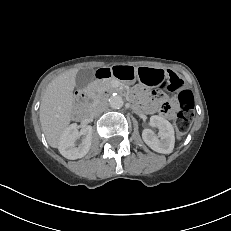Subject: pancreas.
<instances>
[{
  "label": "pancreas",
  "mask_w": 231,
  "mask_h": 231,
  "mask_svg": "<svg viewBox=\"0 0 231 231\" xmlns=\"http://www.w3.org/2000/svg\"><path fill=\"white\" fill-rule=\"evenodd\" d=\"M110 84H111L110 81H106V82H104V83L101 85V88H102V89H105V88L109 87Z\"/></svg>",
  "instance_id": "cf45deb5"
}]
</instances>
